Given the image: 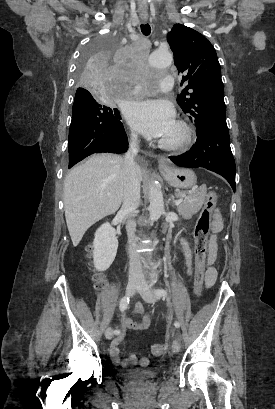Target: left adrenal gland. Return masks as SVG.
Wrapping results in <instances>:
<instances>
[{
    "label": "left adrenal gland",
    "instance_id": "1",
    "mask_svg": "<svg viewBox=\"0 0 275 409\" xmlns=\"http://www.w3.org/2000/svg\"><path fill=\"white\" fill-rule=\"evenodd\" d=\"M170 200L171 198H168V200H166V207H168Z\"/></svg>",
    "mask_w": 275,
    "mask_h": 409
}]
</instances>
